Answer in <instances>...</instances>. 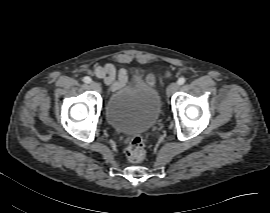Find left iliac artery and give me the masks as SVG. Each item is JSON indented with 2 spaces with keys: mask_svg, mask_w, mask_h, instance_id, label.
<instances>
[{
  "mask_svg": "<svg viewBox=\"0 0 270 213\" xmlns=\"http://www.w3.org/2000/svg\"><path fill=\"white\" fill-rule=\"evenodd\" d=\"M186 82V79L184 77H180L177 81L178 85H183Z\"/></svg>",
  "mask_w": 270,
  "mask_h": 213,
  "instance_id": "left-iliac-artery-1",
  "label": "left iliac artery"
}]
</instances>
